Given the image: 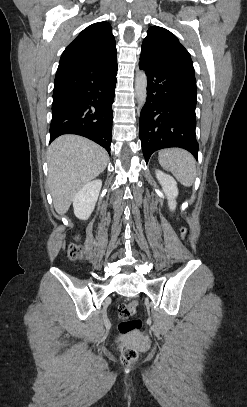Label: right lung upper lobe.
I'll use <instances>...</instances> for the list:
<instances>
[{"instance_id":"cb5924a9","label":"right lung upper lobe","mask_w":247,"mask_h":407,"mask_svg":"<svg viewBox=\"0 0 247 407\" xmlns=\"http://www.w3.org/2000/svg\"><path fill=\"white\" fill-rule=\"evenodd\" d=\"M117 61L112 28L98 22L84 29L64 50L54 80V91L83 80L94 69Z\"/></svg>"}]
</instances>
